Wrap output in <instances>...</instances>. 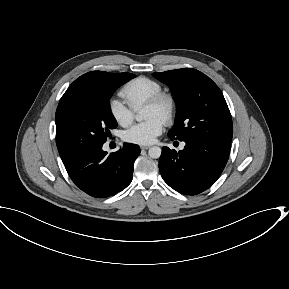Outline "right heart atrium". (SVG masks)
<instances>
[{"label":"right heart atrium","instance_id":"obj_1","mask_svg":"<svg viewBox=\"0 0 289 289\" xmlns=\"http://www.w3.org/2000/svg\"><path fill=\"white\" fill-rule=\"evenodd\" d=\"M109 112L112 118L121 126H129L135 117L134 110L125 102L113 98L109 102Z\"/></svg>","mask_w":289,"mask_h":289}]
</instances>
